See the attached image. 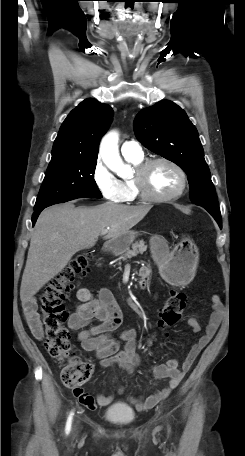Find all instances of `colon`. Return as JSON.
I'll use <instances>...</instances> for the list:
<instances>
[{"mask_svg":"<svg viewBox=\"0 0 245 456\" xmlns=\"http://www.w3.org/2000/svg\"><path fill=\"white\" fill-rule=\"evenodd\" d=\"M91 255L76 256L67 267L49 281L40 295V312L45 329V346L49 355L58 362L67 361L61 372V379L67 387L79 388L90 378L91 363L72 354L70 333L65 327L68 312L65 300L78 281L88 272ZM186 306V295L171 291L162 308L156 325L165 330L175 325Z\"/></svg>","mask_w":245,"mask_h":456,"instance_id":"obj_1","label":"colon"}]
</instances>
